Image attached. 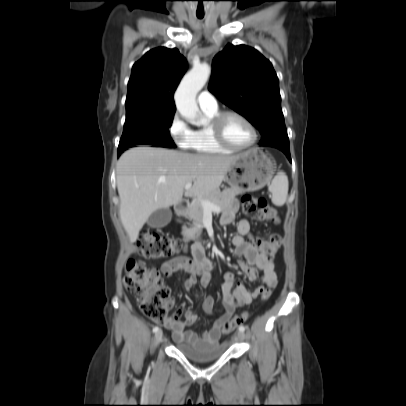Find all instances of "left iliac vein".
Wrapping results in <instances>:
<instances>
[{
    "label": "left iliac vein",
    "mask_w": 406,
    "mask_h": 406,
    "mask_svg": "<svg viewBox=\"0 0 406 406\" xmlns=\"http://www.w3.org/2000/svg\"><path fill=\"white\" fill-rule=\"evenodd\" d=\"M244 338H245V334L242 331H239L235 336L236 340H243Z\"/></svg>",
    "instance_id": "1"
}]
</instances>
